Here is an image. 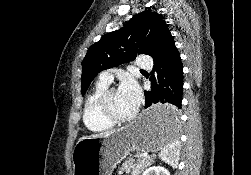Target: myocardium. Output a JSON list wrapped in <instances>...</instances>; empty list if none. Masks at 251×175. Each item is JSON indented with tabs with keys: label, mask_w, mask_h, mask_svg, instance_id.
I'll use <instances>...</instances> for the list:
<instances>
[{
	"label": "myocardium",
	"mask_w": 251,
	"mask_h": 175,
	"mask_svg": "<svg viewBox=\"0 0 251 175\" xmlns=\"http://www.w3.org/2000/svg\"><path fill=\"white\" fill-rule=\"evenodd\" d=\"M116 87H108L100 96L98 100V110L101 116L112 124H118L121 122H127L134 118V113L128 116H118L110 110L109 99L111 94L116 91Z\"/></svg>",
	"instance_id": "f54148a6"
}]
</instances>
